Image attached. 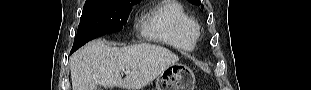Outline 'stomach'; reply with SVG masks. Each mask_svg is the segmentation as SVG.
I'll list each match as a JSON object with an SVG mask.
<instances>
[{
  "mask_svg": "<svg viewBox=\"0 0 311 90\" xmlns=\"http://www.w3.org/2000/svg\"><path fill=\"white\" fill-rule=\"evenodd\" d=\"M195 76L190 68L176 63L157 77L156 90H194Z\"/></svg>",
  "mask_w": 311,
  "mask_h": 90,
  "instance_id": "obj_1",
  "label": "stomach"
}]
</instances>
